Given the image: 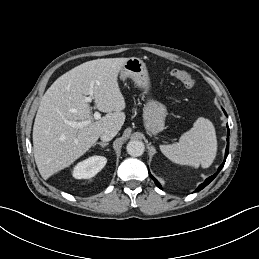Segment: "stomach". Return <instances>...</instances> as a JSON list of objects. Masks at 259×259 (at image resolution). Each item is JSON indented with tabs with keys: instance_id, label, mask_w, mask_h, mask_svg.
<instances>
[{
	"instance_id": "1",
	"label": "stomach",
	"mask_w": 259,
	"mask_h": 259,
	"mask_svg": "<svg viewBox=\"0 0 259 259\" xmlns=\"http://www.w3.org/2000/svg\"><path fill=\"white\" fill-rule=\"evenodd\" d=\"M120 78L125 80L130 78L136 86L148 94L150 89V79L145 63L136 57L128 58L120 71ZM166 107L149 98L143 108V119L145 128L151 134L156 135L161 132L165 126Z\"/></svg>"
}]
</instances>
